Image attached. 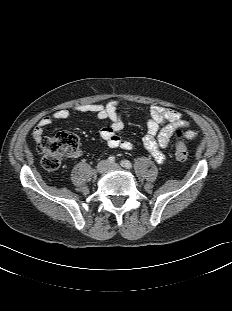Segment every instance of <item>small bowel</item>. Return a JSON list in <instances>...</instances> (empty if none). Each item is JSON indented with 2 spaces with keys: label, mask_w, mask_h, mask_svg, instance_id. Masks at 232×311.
Masks as SVG:
<instances>
[{
  "label": "small bowel",
  "mask_w": 232,
  "mask_h": 311,
  "mask_svg": "<svg viewBox=\"0 0 232 311\" xmlns=\"http://www.w3.org/2000/svg\"><path fill=\"white\" fill-rule=\"evenodd\" d=\"M120 108L119 101L111 100L106 104L87 103L77 105L71 109H58L38 121L32 132L33 139L39 142L44 138V129L55 120L67 119L74 114H91L99 119L111 121L109 125L102 127L100 132L102 139L109 147L131 150L134 148L133 142L119 135L124 127ZM187 127L188 122L183 119L180 112L163 106L152 105L150 107V117L146 124V133L142 138L143 146L156 162L162 163L165 160L163 150L171 144L174 130ZM196 136L197 133L194 130L187 129L184 133V138L187 140H192Z\"/></svg>",
  "instance_id": "obj_1"
}]
</instances>
